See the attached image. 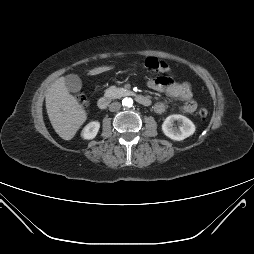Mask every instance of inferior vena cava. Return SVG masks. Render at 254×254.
Listing matches in <instances>:
<instances>
[{
	"label": "inferior vena cava",
	"mask_w": 254,
	"mask_h": 254,
	"mask_svg": "<svg viewBox=\"0 0 254 254\" xmlns=\"http://www.w3.org/2000/svg\"><path fill=\"white\" fill-rule=\"evenodd\" d=\"M121 107V104L119 102H113L109 105V110L111 112H115V111H118Z\"/></svg>",
	"instance_id": "inferior-vena-cava-1"
}]
</instances>
